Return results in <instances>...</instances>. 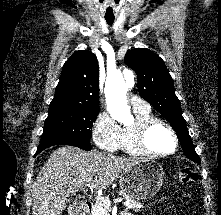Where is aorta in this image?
Returning <instances> with one entry per match:
<instances>
[{"mask_svg": "<svg viewBox=\"0 0 221 215\" xmlns=\"http://www.w3.org/2000/svg\"><path fill=\"white\" fill-rule=\"evenodd\" d=\"M133 86L134 78L125 81L121 72L110 74L106 79L104 92L108 112L113 119L123 124L133 121V116L126 99L128 89Z\"/></svg>", "mask_w": 221, "mask_h": 215, "instance_id": "obj_1", "label": "aorta"}]
</instances>
